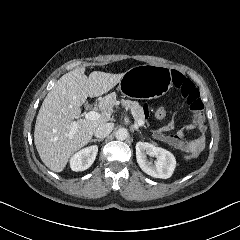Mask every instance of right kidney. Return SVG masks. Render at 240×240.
Listing matches in <instances>:
<instances>
[{
    "mask_svg": "<svg viewBox=\"0 0 240 240\" xmlns=\"http://www.w3.org/2000/svg\"><path fill=\"white\" fill-rule=\"evenodd\" d=\"M98 152V146L93 145L86 147L70 158V167L73 171H84L88 169L94 162Z\"/></svg>",
    "mask_w": 240,
    "mask_h": 240,
    "instance_id": "right-kidney-1",
    "label": "right kidney"
}]
</instances>
